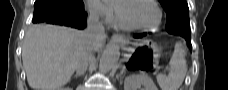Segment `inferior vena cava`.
<instances>
[{
  "label": "inferior vena cava",
  "instance_id": "602c4592",
  "mask_svg": "<svg viewBox=\"0 0 228 90\" xmlns=\"http://www.w3.org/2000/svg\"><path fill=\"white\" fill-rule=\"evenodd\" d=\"M86 37V45L76 66L78 75H83L88 67L89 54L92 51V45L95 41L105 36L103 24L99 21V13L91 8L87 19V28L84 31Z\"/></svg>",
  "mask_w": 228,
  "mask_h": 90
}]
</instances>
